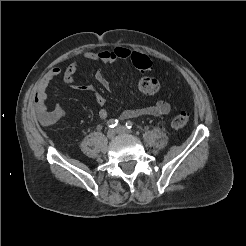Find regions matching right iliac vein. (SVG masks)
<instances>
[{"instance_id":"1","label":"right iliac vein","mask_w":246,"mask_h":246,"mask_svg":"<svg viewBox=\"0 0 246 246\" xmlns=\"http://www.w3.org/2000/svg\"><path fill=\"white\" fill-rule=\"evenodd\" d=\"M116 131L113 129H109L107 132L108 139H113L115 137Z\"/></svg>"}]
</instances>
